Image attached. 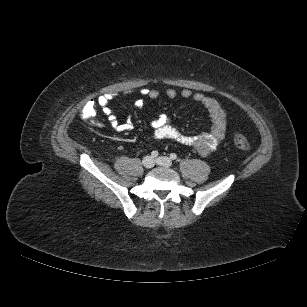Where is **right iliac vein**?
<instances>
[{"mask_svg": "<svg viewBox=\"0 0 307 307\" xmlns=\"http://www.w3.org/2000/svg\"><path fill=\"white\" fill-rule=\"evenodd\" d=\"M142 164L145 168L150 169L154 166V160L151 156L144 157Z\"/></svg>", "mask_w": 307, "mask_h": 307, "instance_id": "right-iliac-vein-1", "label": "right iliac vein"}]
</instances>
